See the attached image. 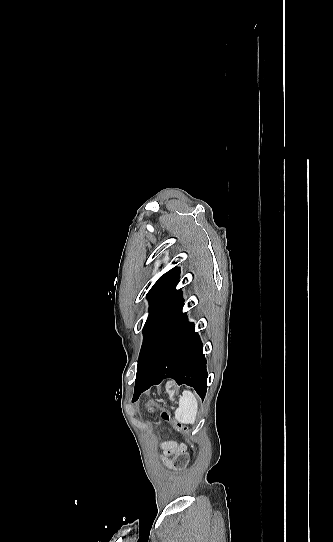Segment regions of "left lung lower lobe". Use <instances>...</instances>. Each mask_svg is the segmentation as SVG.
<instances>
[{
	"instance_id": "1",
	"label": "left lung lower lobe",
	"mask_w": 333,
	"mask_h": 542,
	"mask_svg": "<svg viewBox=\"0 0 333 542\" xmlns=\"http://www.w3.org/2000/svg\"><path fill=\"white\" fill-rule=\"evenodd\" d=\"M206 359L194 324L187 322L181 307L169 318L149 344L136 375L133 401L165 378L192 386L203 399L207 390Z\"/></svg>"
}]
</instances>
